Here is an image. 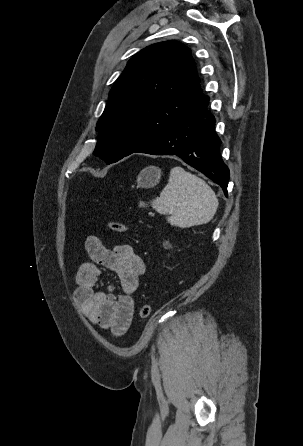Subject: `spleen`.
<instances>
[{
  "label": "spleen",
  "instance_id": "1",
  "mask_svg": "<svg viewBox=\"0 0 303 446\" xmlns=\"http://www.w3.org/2000/svg\"><path fill=\"white\" fill-rule=\"evenodd\" d=\"M151 205L158 213L170 215L167 221L172 226L188 228L212 220L218 199L204 180L182 167H174L168 184L160 196L151 201ZM139 206L145 207L146 204L140 202Z\"/></svg>",
  "mask_w": 303,
  "mask_h": 446
}]
</instances>
